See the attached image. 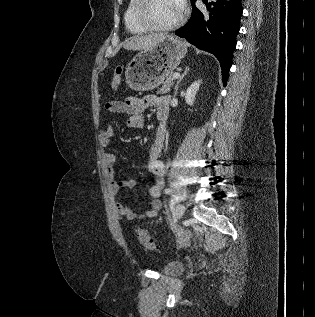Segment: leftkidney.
<instances>
[{"instance_id": "obj_1", "label": "left kidney", "mask_w": 315, "mask_h": 317, "mask_svg": "<svg viewBox=\"0 0 315 317\" xmlns=\"http://www.w3.org/2000/svg\"><path fill=\"white\" fill-rule=\"evenodd\" d=\"M201 84V80L195 81L190 85L185 94V100L188 105H193L195 101V96L197 91L199 90Z\"/></svg>"}]
</instances>
